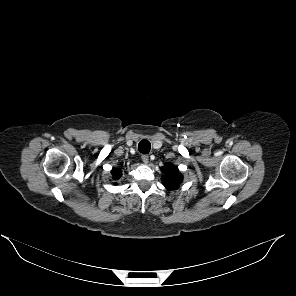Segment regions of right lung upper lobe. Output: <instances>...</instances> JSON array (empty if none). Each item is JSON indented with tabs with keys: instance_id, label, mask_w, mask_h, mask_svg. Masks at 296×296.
I'll use <instances>...</instances> for the list:
<instances>
[{
	"instance_id": "obj_1",
	"label": "right lung upper lobe",
	"mask_w": 296,
	"mask_h": 296,
	"mask_svg": "<svg viewBox=\"0 0 296 296\" xmlns=\"http://www.w3.org/2000/svg\"><path fill=\"white\" fill-rule=\"evenodd\" d=\"M111 175L113 180H118L121 177V171L117 168H113L111 171Z\"/></svg>"
}]
</instances>
